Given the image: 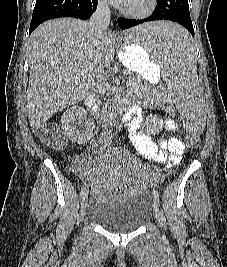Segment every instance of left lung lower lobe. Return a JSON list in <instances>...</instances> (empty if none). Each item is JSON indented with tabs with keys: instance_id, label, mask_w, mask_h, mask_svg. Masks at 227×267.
I'll return each instance as SVG.
<instances>
[{
	"instance_id": "obj_1",
	"label": "left lung lower lobe",
	"mask_w": 227,
	"mask_h": 267,
	"mask_svg": "<svg viewBox=\"0 0 227 267\" xmlns=\"http://www.w3.org/2000/svg\"><path fill=\"white\" fill-rule=\"evenodd\" d=\"M156 20H170L183 25L192 36H194V29L189 13L188 0H158L157 7L154 13L142 20H131L120 18L118 25L121 29H128L144 22H151ZM170 43L176 50H185L192 45V40H182L176 38L174 35L170 37Z\"/></svg>"
}]
</instances>
